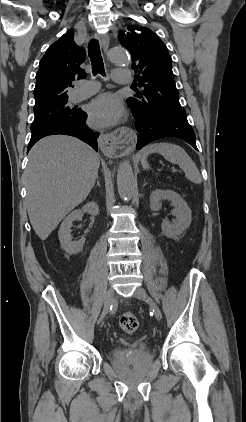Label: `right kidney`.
<instances>
[{
    "instance_id": "obj_1",
    "label": "right kidney",
    "mask_w": 246,
    "mask_h": 422,
    "mask_svg": "<svg viewBox=\"0 0 246 422\" xmlns=\"http://www.w3.org/2000/svg\"><path fill=\"white\" fill-rule=\"evenodd\" d=\"M83 212H86L92 216L99 214V207L96 202H89L83 206L82 209L71 212L62 222L58 236L61 243V247L70 255H76L82 251L85 244V238H81L79 241H72L71 227L75 220H81Z\"/></svg>"
}]
</instances>
